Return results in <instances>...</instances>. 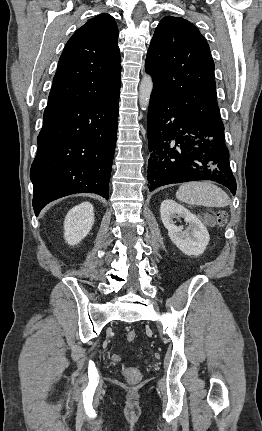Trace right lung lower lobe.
<instances>
[{
    "label": "right lung lower lobe",
    "mask_w": 262,
    "mask_h": 431,
    "mask_svg": "<svg viewBox=\"0 0 262 431\" xmlns=\"http://www.w3.org/2000/svg\"><path fill=\"white\" fill-rule=\"evenodd\" d=\"M119 93L106 101L48 103L31 166L36 216L49 202L93 192L108 199Z\"/></svg>",
    "instance_id": "98d812e1"
}]
</instances>
